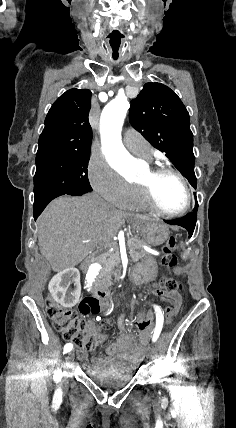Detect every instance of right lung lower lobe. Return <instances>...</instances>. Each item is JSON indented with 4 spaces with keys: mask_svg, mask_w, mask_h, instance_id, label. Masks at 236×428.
I'll return each mask as SVG.
<instances>
[{
    "mask_svg": "<svg viewBox=\"0 0 236 428\" xmlns=\"http://www.w3.org/2000/svg\"><path fill=\"white\" fill-rule=\"evenodd\" d=\"M89 191H73V192H68V193H61V194H55V195H51L48 196L46 198L40 199L38 201H34V219L36 220L38 218V216L41 214V212L44 210V208L47 206V204L53 200L54 198L64 195V194H68V195H72V196H81L85 193H87Z\"/></svg>",
    "mask_w": 236,
    "mask_h": 428,
    "instance_id": "obj_1",
    "label": "right lung lower lobe"
}]
</instances>
